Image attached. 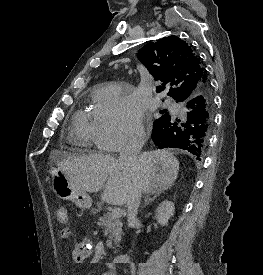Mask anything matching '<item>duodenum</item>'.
<instances>
[{
    "label": "duodenum",
    "instance_id": "410a0bca",
    "mask_svg": "<svg viewBox=\"0 0 263 275\" xmlns=\"http://www.w3.org/2000/svg\"><path fill=\"white\" fill-rule=\"evenodd\" d=\"M128 254L127 253H121L115 256V258L113 259V263H112V267H114V265L116 264H120V263H126L128 261Z\"/></svg>",
    "mask_w": 263,
    "mask_h": 275
}]
</instances>
